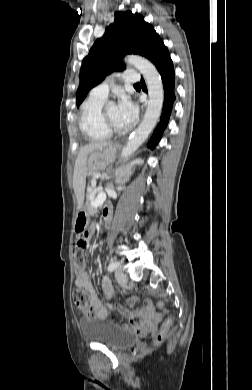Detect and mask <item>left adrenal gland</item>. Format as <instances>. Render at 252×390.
Listing matches in <instances>:
<instances>
[{
    "instance_id": "1",
    "label": "left adrenal gland",
    "mask_w": 252,
    "mask_h": 390,
    "mask_svg": "<svg viewBox=\"0 0 252 390\" xmlns=\"http://www.w3.org/2000/svg\"><path fill=\"white\" fill-rule=\"evenodd\" d=\"M138 162V160H135V162L133 163V165L135 164V163H137ZM132 174V170L131 169H129L128 170V172H127V174H124L123 175V179H118L117 180V182H125V181H127L128 179H129V177H130V175Z\"/></svg>"
}]
</instances>
